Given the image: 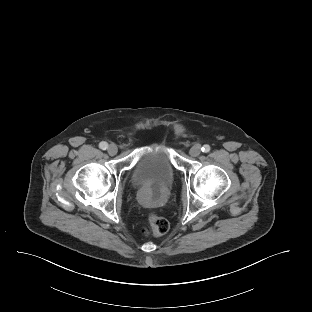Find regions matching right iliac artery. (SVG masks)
Instances as JSON below:
<instances>
[{"instance_id": "82829eb1", "label": "right iliac artery", "mask_w": 312, "mask_h": 312, "mask_svg": "<svg viewBox=\"0 0 312 312\" xmlns=\"http://www.w3.org/2000/svg\"><path fill=\"white\" fill-rule=\"evenodd\" d=\"M99 148L102 149V150H106L108 148V143L106 142H101L99 144Z\"/></svg>"}]
</instances>
